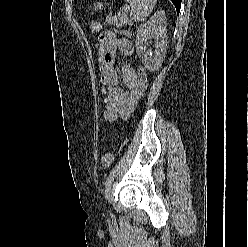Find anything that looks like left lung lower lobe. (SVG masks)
Wrapping results in <instances>:
<instances>
[{
    "mask_svg": "<svg viewBox=\"0 0 248 247\" xmlns=\"http://www.w3.org/2000/svg\"><path fill=\"white\" fill-rule=\"evenodd\" d=\"M173 2V4L176 7L177 13H179L180 11V7H181V0H171Z\"/></svg>",
    "mask_w": 248,
    "mask_h": 247,
    "instance_id": "left-lung-lower-lobe-1",
    "label": "left lung lower lobe"
}]
</instances>
